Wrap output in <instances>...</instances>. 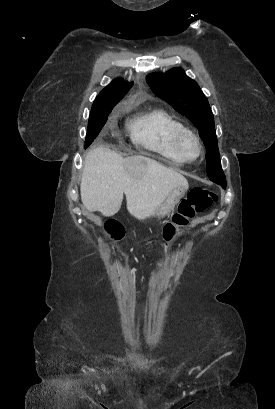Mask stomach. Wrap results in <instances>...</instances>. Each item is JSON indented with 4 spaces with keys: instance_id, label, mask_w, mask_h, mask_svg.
I'll use <instances>...</instances> for the list:
<instances>
[{
    "instance_id": "0dacf381",
    "label": "stomach",
    "mask_w": 275,
    "mask_h": 409,
    "mask_svg": "<svg viewBox=\"0 0 275 409\" xmlns=\"http://www.w3.org/2000/svg\"><path fill=\"white\" fill-rule=\"evenodd\" d=\"M185 190V186H176V188H173V190L169 192L168 196H166L165 200L161 202V205H159L153 217H157V219H163V217H166V215H168V213L174 209L175 205H177L180 198L184 196Z\"/></svg>"
}]
</instances>
